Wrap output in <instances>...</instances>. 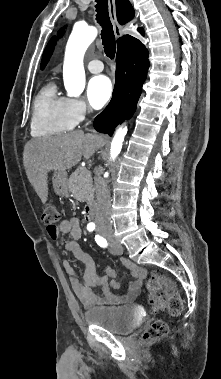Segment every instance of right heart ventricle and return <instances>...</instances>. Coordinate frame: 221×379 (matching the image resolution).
I'll use <instances>...</instances> for the list:
<instances>
[{
  "label": "right heart ventricle",
  "mask_w": 221,
  "mask_h": 379,
  "mask_svg": "<svg viewBox=\"0 0 221 379\" xmlns=\"http://www.w3.org/2000/svg\"><path fill=\"white\" fill-rule=\"evenodd\" d=\"M76 125L65 97L59 96L54 84H48L34 100L31 133L33 136H51L70 131Z\"/></svg>",
  "instance_id": "right-heart-ventricle-1"
}]
</instances>
